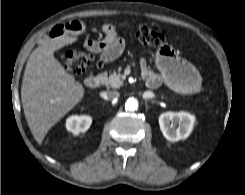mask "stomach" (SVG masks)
<instances>
[{"instance_id":"0dacf381","label":"stomach","mask_w":245,"mask_h":195,"mask_svg":"<svg viewBox=\"0 0 245 195\" xmlns=\"http://www.w3.org/2000/svg\"><path fill=\"white\" fill-rule=\"evenodd\" d=\"M156 66L163 75L165 83L175 92L193 94L199 91L200 74L191 64L178 57L171 46L167 44L159 46Z\"/></svg>"}]
</instances>
